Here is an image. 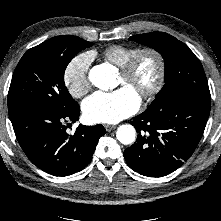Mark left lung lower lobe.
Wrapping results in <instances>:
<instances>
[{
    "mask_svg": "<svg viewBox=\"0 0 221 221\" xmlns=\"http://www.w3.org/2000/svg\"><path fill=\"white\" fill-rule=\"evenodd\" d=\"M211 98L195 93L171 97L160 108L144 111L130 122L138 133L124 151L127 164L148 177L178 169L196 149L210 114Z\"/></svg>",
    "mask_w": 221,
    "mask_h": 221,
    "instance_id": "0a47b994",
    "label": "left lung lower lobe"
}]
</instances>
